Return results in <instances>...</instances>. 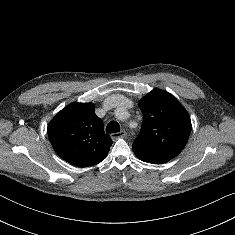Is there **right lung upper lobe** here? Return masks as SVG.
Masks as SVG:
<instances>
[{
	"instance_id": "obj_1",
	"label": "right lung upper lobe",
	"mask_w": 235,
	"mask_h": 235,
	"mask_svg": "<svg viewBox=\"0 0 235 235\" xmlns=\"http://www.w3.org/2000/svg\"><path fill=\"white\" fill-rule=\"evenodd\" d=\"M48 137L55 152L78 167L100 163L112 145L93 103H73L62 109L50 121Z\"/></svg>"
}]
</instances>
